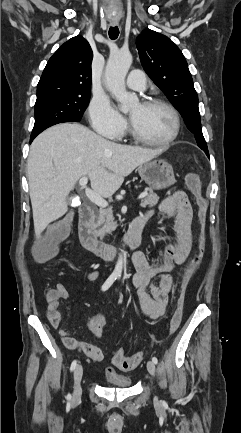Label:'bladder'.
<instances>
[{
  "instance_id": "31cf9c89",
  "label": "bladder",
  "mask_w": 241,
  "mask_h": 433,
  "mask_svg": "<svg viewBox=\"0 0 241 433\" xmlns=\"http://www.w3.org/2000/svg\"><path fill=\"white\" fill-rule=\"evenodd\" d=\"M107 386L113 388H129L132 385V379L128 375L119 373H107L105 376Z\"/></svg>"
}]
</instances>
